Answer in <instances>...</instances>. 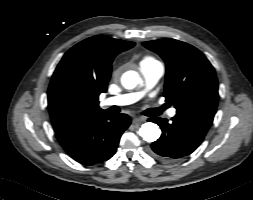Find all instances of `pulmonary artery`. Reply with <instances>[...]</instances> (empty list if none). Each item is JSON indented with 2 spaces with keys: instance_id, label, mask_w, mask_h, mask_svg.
<instances>
[{
  "instance_id": "pulmonary-artery-1",
  "label": "pulmonary artery",
  "mask_w": 253,
  "mask_h": 200,
  "mask_svg": "<svg viewBox=\"0 0 253 200\" xmlns=\"http://www.w3.org/2000/svg\"><path fill=\"white\" fill-rule=\"evenodd\" d=\"M140 71L144 77L146 88H152L162 77L164 73L163 65L156 60L144 61L140 63ZM145 91L133 92L127 94H121L114 97L106 98L102 101L104 106H124L135 103L143 97ZM169 117H174L176 115V109L171 108L167 112Z\"/></svg>"
}]
</instances>
